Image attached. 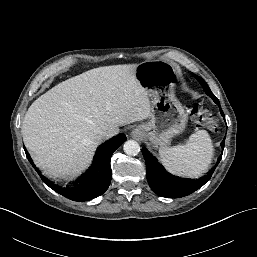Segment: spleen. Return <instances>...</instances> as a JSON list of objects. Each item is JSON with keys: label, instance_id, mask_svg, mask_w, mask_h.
I'll return each instance as SVG.
<instances>
[{"label": "spleen", "instance_id": "obj_1", "mask_svg": "<svg viewBox=\"0 0 257 257\" xmlns=\"http://www.w3.org/2000/svg\"><path fill=\"white\" fill-rule=\"evenodd\" d=\"M165 168L178 176L198 177L209 168L214 156L212 140L206 130L193 133L186 144L159 149Z\"/></svg>", "mask_w": 257, "mask_h": 257}]
</instances>
